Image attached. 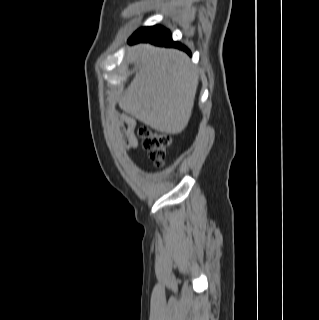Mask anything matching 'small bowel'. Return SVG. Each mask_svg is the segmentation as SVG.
<instances>
[{
    "mask_svg": "<svg viewBox=\"0 0 319 320\" xmlns=\"http://www.w3.org/2000/svg\"><path fill=\"white\" fill-rule=\"evenodd\" d=\"M117 129L122 135L127 149L135 153L138 151L139 143L135 134V121L125 114H121L116 119Z\"/></svg>",
    "mask_w": 319,
    "mask_h": 320,
    "instance_id": "small-bowel-1",
    "label": "small bowel"
}]
</instances>
